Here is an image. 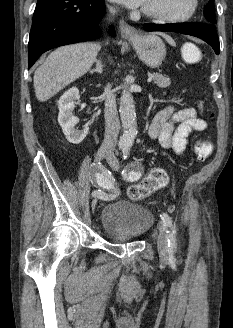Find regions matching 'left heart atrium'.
I'll use <instances>...</instances> for the list:
<instances>
[{"instance_id":"obj_1","label":"left heart atrium","mask_w":233,"mask_h":328,"mask_svg":"<svg viewBox=\"0 0 233 328\" xmlns=\"http://www.w3.org/2000/svg\"><path fill=\"white\" fill-rule=\"evenodd\" d=\"M126 5L129 8H138L144 5L146 0H115Z\"/></svg>"}]
</instances>
